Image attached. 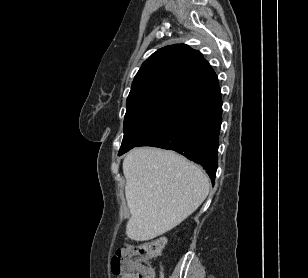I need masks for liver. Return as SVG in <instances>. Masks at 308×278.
I'll use <instances>...</instances> for the list:
<instances>
[{
    "label": "liver",
    "mask_w": 308,
    "mask_h": 278,
    "mask_svg": "<svg viewBox=\"0 0 308 278\" xmlns=\"http://www.w3.org/2000/svg\"><path fill=\"white\" fill-rule=\"evenodd\" d=\"M131 217L126 235L147 241L190 216L206 199L209 179L200 167L171 150L139 147L123 161Z\"/></svg>",
    "instance_id": "1"
}]
</instances>
